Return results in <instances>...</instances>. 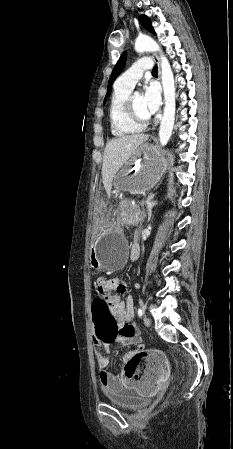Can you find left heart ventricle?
<instances>
[{
  "mask_svg": "<svg viewBox=\"0 0 233 449\" xmlns=\"http://www.w3.org/2000/svg\"><path fill=\"white\" fill-rule=\"evenodd\" d=\"M134 105H135L136 111L138 112L139 115H141V116L148 115V113L145 109L143 97L141 94L134 95Z\"/></svg>",
  "mask_w": 233,
  "mask_h": 449,
  "instance_id": "b2bd125f",
  "label": "left heart ventricle"
}]
</instances>
